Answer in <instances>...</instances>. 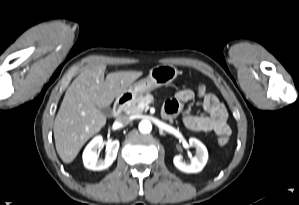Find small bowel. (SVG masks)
Returning <instances> with one entry per match:
<instances>
[{
	"mask_svg": "<svg viewBox=\"0 0 299 205\" xmlns=\"http://www.w3.org/2000/svg\"><path fill=\"white\" fill-rule=\"evenodd\" d=\"M194 96L191 89L178 91L174 98L166 101L163 114L167 117L181 115L185 127L192 131L214 132L216 135L229 134L227 111L215 95L206 93L202 96L206 115L184 110V104L191 101Z\"/></svg>",
	"mask_w": 299,
	"mask_h": 205,
	"instance_id": "1",
	"label": "small bowel"
}]
</instances>
